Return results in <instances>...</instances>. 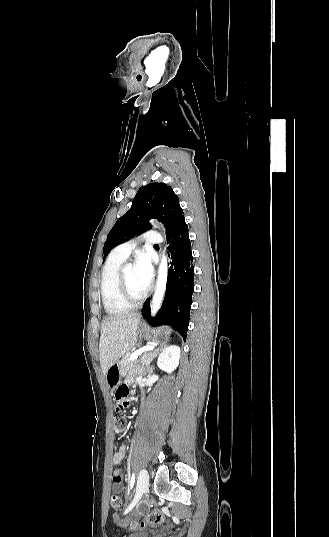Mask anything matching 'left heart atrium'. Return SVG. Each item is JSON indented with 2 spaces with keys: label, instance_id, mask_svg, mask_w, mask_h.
<instances>
[{
  "label": "left heart atrium",
  "instance_id": "obj_1",
  "mask_svg": "<svg viewBox=\"0 0 329 537\" xmlns=\"http://www.w3.org/2000/svg\"><path fill=\"white\" fill-rule=\"evenodd\" d=\"M134 270L140 285L147 290L152 280L153 268L146 252L141 251L137 254Z\"/></svg>",
  "mask_w": 329,
  "mask_h": 537
}]
</instances>
